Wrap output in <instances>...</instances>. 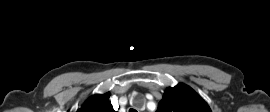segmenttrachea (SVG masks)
Listing matches in <instances>:
<instances>
[{
	"label": "trachea",
	"instance_id": "3493384b",
	"mask_svg": "<svg viewBox=\"0 0 270 112\" xmlns=\"http://www.w3.org/2000/svg\"><path fill=\"white\" fill-rule=\"evenodd\" d=\"M129 112H137L135 109H129Z\"/></svg>",
	"mask_w": 270,
	"mask_h": 112
}]
</instances>
